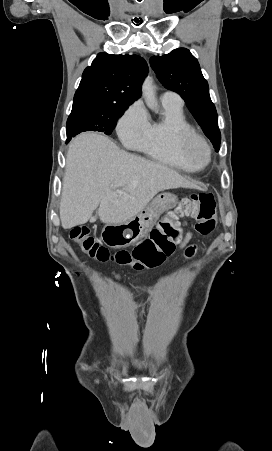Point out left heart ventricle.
Masks as SVG:
<instances>
[{"label": "left heart ventricle", "mask_w": 272, "mask_h": 451, "mask_svg": "<svg viewBox=\"0 0 272 451\" xmlns=\"http://www.w3.org/2000/svg\"><path fill=\"white\" fill-rule=\"evenodd\" d=\"M192 158L196 166H204L206 163V154L199 147H194L192 149Z\"/></svg>", "instance_id": "1"}]
</instances>
